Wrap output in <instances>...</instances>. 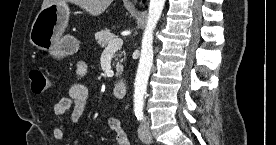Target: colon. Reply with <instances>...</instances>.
Segmentation results:
<instances>
[{
	"label": "colon",
	"instance_id": "1",
	"mask_svg": "<svg viewBox=\"0 0 276 145\" xmlns=\"http://www.w3.org/2000/svg\"><path fill=\"white\" fill-rule=\"evenodd\" d=\"M29 78L33 93L42 94L50 88V81L40 68H32L29 71Z\"/></svg>",
	"mask_w": 276,
	"mask_h": 145
}]
</instances>
